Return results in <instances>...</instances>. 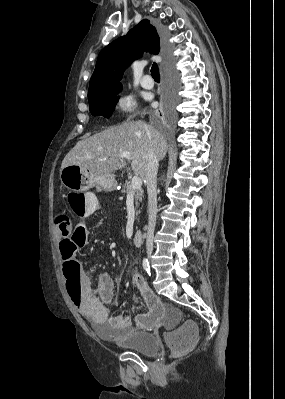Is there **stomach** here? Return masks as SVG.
<instances>
[{"mask_svg":"<svg viewBox=\"0 0 285 399\" xmlns=\"http://www.w3.org/2000/svg\"><path fill=\"white\" fill-rule=\"evenodd\" d=\"M60 180L66 188L75 192H86L92 187H96L98 191L110 192L118 186L114 175L92 177L77 165H69L63 168L60 173Z\"/></svg>","mask_w":285,"mask_h":399,"instance_id":"obj_1","label":"stomach"}]
</instances>
